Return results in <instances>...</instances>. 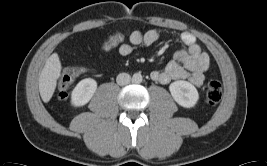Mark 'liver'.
<instances>
[{"label":"liver","mask_w":267,"mask_h":166,"mask_svg":"<svg viewBox=\"0 0 267 166\" xmlns=\"http://www.w3.org/2000/svg\"><path fill=\"white\" fill-rule=\"evenodd\" d=\"M62 65L57 53H53L46 61L39 76V92L42 100L47 103L53 96Z\"/></svg>","instance_id":"obj_1"}]
</instances>
